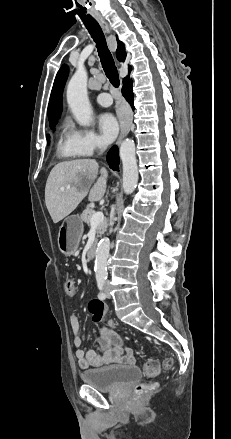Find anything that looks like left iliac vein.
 Returning <instances> with one entry per match:
<instances>
[{"mask_svg":"<svg viewBox=\"0 0 231 439\" xmlns=\"http://www.w3.org/2000/svg\"><path fill=\"white\" fill-rule=\"evenodd\" d=\"M105 294H106V297H107V298H110V297H111V295H110V291H109V283H108V282H107L106 285H105Z\"/></svg>","mask_w":231,"mask_h":439,"instance_id":"4c4485c4","label":"left iliac vein"}]
</instances>
